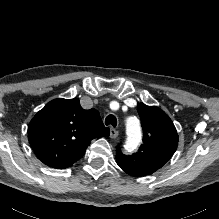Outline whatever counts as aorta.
I'll use <instances>...</instances> for the list:
<instances>
[{
  "mask_svg": "<svg viewBox=\"0 0 219 219\" xmlns=\"http://www.w3.org/2000/svg\"><path fill=\"white\" fill-rule=\"evenodd\" d=\"M128 139L127 148L131 151L138 147L141 142L142 133L141 127L138 121L128 123Z\"/></svg>",
  "mask_w": 219,
  "mask_h": 219,
  "instance_id": "762f6f07",
  "label": "aorta"
}]
</instances>
